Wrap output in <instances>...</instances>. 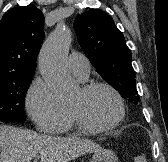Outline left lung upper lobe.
<instances>
[{
    "mask_svg": "<svg viewBox=\"0 0 168 162\" xmlns=\"http://www.w3.org/2000/svg\"><path fill=\"white\" fill-rule=\"evenodd\" d=\"M79 44L101 77L123 98L137 105L136 74L125 38L106 13L92 9L74 22Z\"/></svg>",
    "mask_w": 168,
    "mask_h": 162,
    "instance_id": "left-lung-upper-lobe-1",
    "label": "left lung upper lobe"
}]
</instances>
